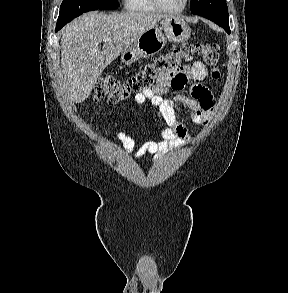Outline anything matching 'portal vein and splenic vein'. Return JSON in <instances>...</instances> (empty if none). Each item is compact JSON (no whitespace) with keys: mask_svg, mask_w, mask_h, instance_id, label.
<instances>
[{"mask_svg":"<svg viewBox=\"0 0 288 293\" xmlns=\"http://www.w3.org/2000/svg\"><path fill=\"white\" fill-rule=\"evenodd\" d=\"M109 40H110V38H105V39H104L105 42H106V41H109Z\"/></svg>","mask_w":288,"mask_h":293,"instance_id":"portal-vein-and-splenic-vein-1","label":"portal vein and splenic vein"}]
</instances>
